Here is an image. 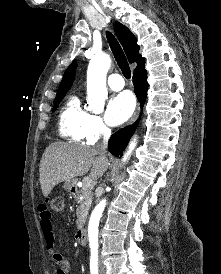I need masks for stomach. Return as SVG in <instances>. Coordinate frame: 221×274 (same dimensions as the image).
<instances>
[{
	"label": "stomach",
	"mask_w": 221,
	"mask_h": 274,
	"mask_svg": "<svg viewBox=\"0 0 221 274\" xmlns=\"http://www.w3.org/2000/svg\"><path fill=\"white\" fill-rule=\"evenodd\" d=\"M63 187L67 192L72 193L76 189V183L74 180H71L69 182H65Z\"/></svg>",
	"instance_id": "stomach-1"
}]
</instances>
